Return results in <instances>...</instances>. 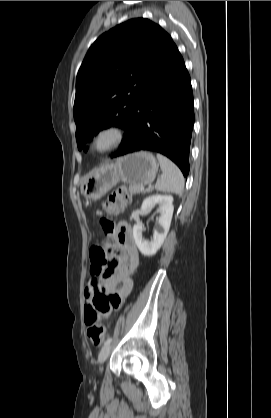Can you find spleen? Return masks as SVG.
I'll return each instance as SVG.
<instances>
[{"label":"spleen","instance_id":"spleen-1","mask_svg":"<svg viewBox=\"0 0 271 418\" xmlns=\"http://www.w3.org/2000/svg\"><path fill=\"white\" fill-rule=\"evenodd\" d=\"M157 159L163 174L155 184L156 190L181 195L184 190L185 182L182 172L165 156L157 154Z\"/></svg>","mask_w":271,"mask_h":418}]
</instances>
